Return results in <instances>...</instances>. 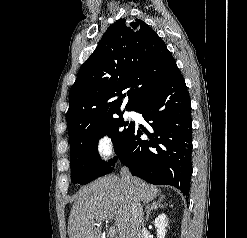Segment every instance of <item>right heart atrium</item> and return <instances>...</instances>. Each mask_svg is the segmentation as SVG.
Segmentation results:
<instances>
[{"label":"right heart atrium","mask_w":247,"mask_h":238,"mask_svg":"<svg viewBox=\"0 0 247 238\" xmlns=\"http://www.w3.org/2000/svg\"><path fill=\"white\" fill-rule=\"evenodd\" d=\"M115 154L112 137L108 133L100 134L95 141V156L99 163H108Z\"/></svg>","instance_id":"d8ad5b80"}]
</instances>
